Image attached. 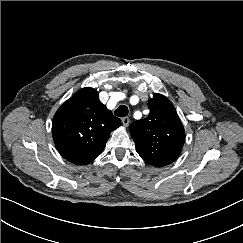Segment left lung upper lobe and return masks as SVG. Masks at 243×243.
I'll list each match as a JSON object with an SVG mask.
<instances>
[{"label": "left lung upper lobe", "instance_id": "1", "mask_svg": "<svg viewBox=\"0 0 243 243\" xmlns=\"http://www.w3.org/2000/svg\"><path fill=\"white\" fill-rule=\"evenodd\" d=\"M148 106L149 116L133 122L129 130L140 157L149 165L165 166L178 158L185 131L174 106L165 96L154 93Z\"/></svg>", "mask_w": 243, "mask_h": 243}]
</instances>
